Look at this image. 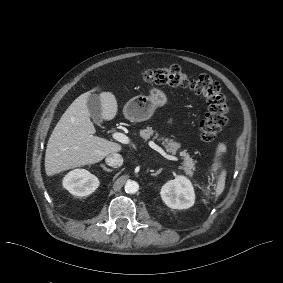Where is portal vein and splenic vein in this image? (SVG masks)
Returning a JSON list of instances; mask_svg holds the SVG:
<instances>
[{
	"mask_svg": "<svg viewBox=\"0 0 283 283\" xmlns=\"http://www.w3.org/2000/svg\"><path fill=\"white\" fill-rule=\"evenodd\" d=\"M113 138L123 144H128L130 142L129 138L120 132H116L113 135ZM150 148L154 149L155 151H157L158 153H160L164 158L168 159V160H172V161H177L178 158L172 155L167 154L160 146H158L157 144H155L153 141H149L148 142Z\"/></svg>",
	"mask_w": 283,
	"mask_h": 283,
	"instance_id": "1",
	"label": "portal vein and splenic vein"
}]
</instances>
